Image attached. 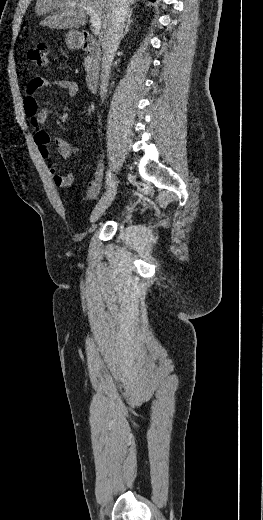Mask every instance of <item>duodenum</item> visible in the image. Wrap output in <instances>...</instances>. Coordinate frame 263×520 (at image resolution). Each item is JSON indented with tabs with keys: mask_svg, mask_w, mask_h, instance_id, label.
Masks as SVG:
<instances>
[{
	"mask_svg": "<svg viewBox=\"0 0 263 520\" xmlns=\"http://www.w3.org/2000/svg\"><path fill=\"white\" fill-rule=\"evenodd\" d=\"M81 48L88 56L85 82L87 88L94 93L97 91L100 78L101 49L95 39L88 32H83L81 35Z\"/></svg>",
	"mask_w": 263,
	"mask_h": 520,
	"instance_id": "obj_1",
	"label": "duodenum"
}]
</instances>
